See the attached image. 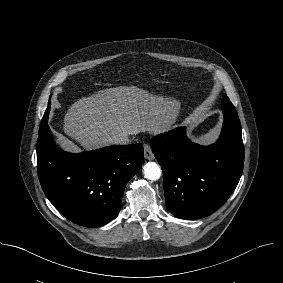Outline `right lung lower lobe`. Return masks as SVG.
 Masks as SVG:
<instances>
[{
  "label": "right lung lower lobe",
  "instance_id": "right-lung-lower-lobe-1",
  "mask_svg": "<svg viewBox=\"0 0 283 283\" xmlns=\"http://www.w3.org/2000/svg\"><path fill=\"white\" fill-rule=\"evenodd\" d=\"M42 118L37 140L38 177L54 207L85 227L109 223L121 208L127 182L143 163V146H108L72 154L60 150Z\"/></svg>",
  "mask_w": 283,
  "mask_h": 283
}]
</instances>
